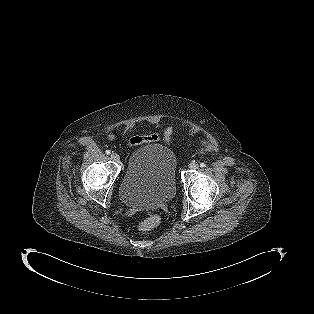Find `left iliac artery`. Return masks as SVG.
<instances>
[{
    "instance_id": "obj_1",
    "label": "left iliac artery",
    "mask_w": 314,
    "mask_h": 314,
    "mask_svg": "<svg viewBox=\"0 0 314 314\" xmlns=\"http://www.w3.org/2000/svg\"><path fill=\"white\" fill-rule=\"evenodd\" d=\"M200 167L204 168V167H206V164L205 163H201Z\"/></svg>"
}]
</instances>
